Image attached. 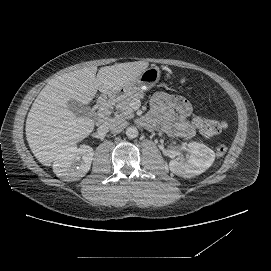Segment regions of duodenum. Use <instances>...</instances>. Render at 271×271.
Masks as SVG:
<instances>
[{"label":"duodenum","mask_w":271,"mask_h":271,"mask_svg":"<svg viewBox=\"0 0 271 271\" xmlns=\"http://www.w3.org/2000/svg\"><path fill=\"white\" fill-rule=\"evenodd\" d=\"M113 98V94L110 93L103 94L98 98L97 108L99 120L103 121L108 117Z\"/></svg>","instance_id":"1"}]
</instances>
